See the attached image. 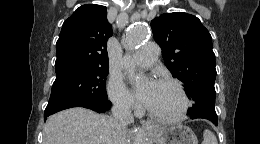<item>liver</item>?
<instances>
[{
	"instance_id": "6515ba94",
	"label": "liver",
	"mask_w": 260,
	"mask_h": 144,
	"mask_svg": "<svg viewBox=\"0 0 260 144\" xmlns=\"http://www.w3.org/2000/svg\"><path fill=\"white\" fill-rule=\"evenodd\" d=\"M45 144H124L127 130H118L113 117L75 107L50 116Z\"/></svg>"
}]
</instances>
